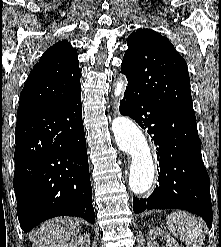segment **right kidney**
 <instances>
[{
	"label": "right kidney",
	"mask_w": 221,
	"mask_h": 247,
	"mask_svg": "<svg viewBox=\"0 0 221 247\" xmlns=\"http://www.w3.org/2000/svg\"><path fill=\"white\" fill-rule=\"evenodd\" d=\"M64 247H90V235L82 234L72 238L69 244Z\"/></svg>",
	"instance_id": "1"
}]
</instances>
